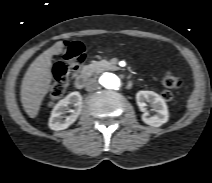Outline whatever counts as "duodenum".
<instances>
[{
  "mask_svg": "<svg viewBox=\"0 0 212 183\" xmlns=\"http://www.w3.org/2000/svg\"><path fill=\"white\" fill-rule=\"evenodd\" d=\"M89 76L90 73L88 71L81 73L75 80V87L77 89H82L85 86Z\"/></svg>",
  "mask_w": 212,
  "mask_h": 183,
  "instance_id": "obj_1",
  "label": "duodenum"
}]
</instances>
